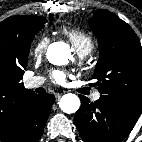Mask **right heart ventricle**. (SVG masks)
Returning <instances> with one entry per match:
<instances>
[{"label": "right heart ventricle", "instance_id": "right-heart-ventricle-1", "mask_svg": "<svg viewBox=\"0 0 142 142\" xmlns=\"http://www.w3.org/2000/svg\"><path fill=\"white\" fill-rule=\"evenodd\" d=\"M62 34L72 43L80 55L89 54L94 48V40L90 34L78 28H64Z\"/></svg>", "mask_w": 142, "mask_h": 142}]
</instances>
